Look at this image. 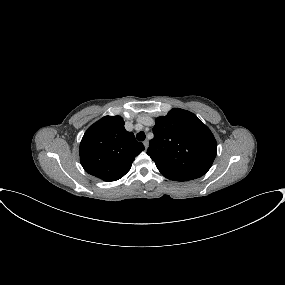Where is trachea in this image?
I'll return each mask as SVG.
<instances>
[{"instance_id": "3493384b", "label": "trachea", "mask_w": 285, "mask_h": 285, "mask_svg": "<svg viewBox=\"0 0 285 285\" xmlns=\"http://www.w3.org/2000/svg\"><path fill=\"white\" fill-rule=\"evenodd\" d=\"M136 137H137V140H138V141H144L146 135H145V133H144L143 131H141V132H139V133L137 134Z\"/></svg>"}]
</instances>
